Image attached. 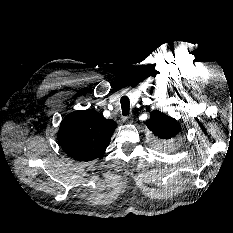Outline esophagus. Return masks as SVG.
<instances>
[{
	"label": "esophagus",
	"instance_id": "1",
	"mask_svg": "<svg viewBox=\"0 0 233 233\" xmlns=\"http://www.w3.org/2000/svg\"><path fill=\"white\" fill-rule=\"evenodd\" d=\"M124 121L127 122V123H131V122L133 121L132 115L126 116V117L124 118Z\"/></svg>",
	"mask_w": 233,
	"mask_h": 233
}]
</instances>
